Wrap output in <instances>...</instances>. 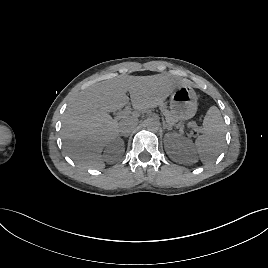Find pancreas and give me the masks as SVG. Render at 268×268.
<instances>
[{"mask_svg":"<svg viewBox=\"0 0 268 268\" xmlns=\"http://www.w3.org/2000/svg\"><path fill=\"white\" fill-rule=\"evenodd\" d=\"M161 109L163 111V114L166 117V121L168 122L169 126H173L175 124L176 120L172 117L170 112L167 109H165L164 106H161Z\"/></svg>","mask_w":268,"mask_h":268,"instance_id":"cf45deb5","label":"pancreas"}]
</instances>
